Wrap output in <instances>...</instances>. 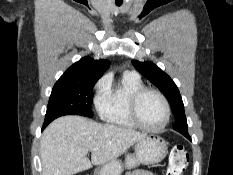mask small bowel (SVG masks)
<instances>
[{
    "instance_id": "small-bowel-1",
    "label": "small bowel",
    "mask_w": 233,
    "mask_h": 175,
    "mask_svg": "<svg viewBox=\"0 0 233 175\" xmlns=\"http://www.w3.org/2000/svg\"><path fill=\"white\" fill-rule=\"evenodd\" d=\"M126 175H158V174L155 173V172H152V171L134 169V170L129 171L128 173H126Z\"/></svg>"
}]
</instances>
